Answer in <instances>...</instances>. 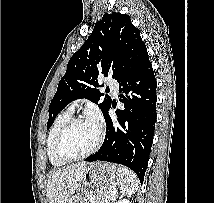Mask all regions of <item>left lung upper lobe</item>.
Segmentation results:
<instances>
[{
	"instance_id": "5c2ea615",
	"label": "left lung upper lobe",
	"mask_w": 214,
	"mask_h": 203,
	"mask_svg": "<svg viewBox=\"0 0 214 203\" xmlns=\"http://www.w3.org/2000/svg\"><path fill=\"white\" fill-rule=\"evenodd\" d=\"M146 49L140 31L131 23L128 15L117 12L105 14L68 62L65 75L58 84L57 92L49 106L47 129L58 113L72 100L86 98L98 103L103 95L98 76L109 72L118 80L131 66L137 55ZM111 105V98L99 104L103 115Z\"/></svg>"
}]
</instances>
